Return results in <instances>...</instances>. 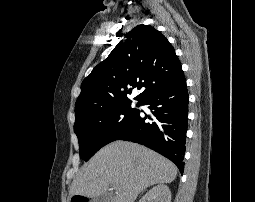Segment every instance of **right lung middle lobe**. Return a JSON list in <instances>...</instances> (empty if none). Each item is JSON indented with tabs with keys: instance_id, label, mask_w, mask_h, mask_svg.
Instances as JSON below:
<instances>
[{
	"instance_id": "right-lung-middle-lobe-1",
	"label": "right lung middle lobe",
	"mask_w": 255,
	"mask_h": 202,
	"mask_svg": "<svg viewBox=\"0 0 255 202\" xmlns=\"http://www.w3.org/2000/svg\"><path fill=\"white\" fill-rule=\"evenodd\" d=\"M138 113L139 110L132 108L131 102H121L77 119L74 131L79 141L80 158L88 161L100 148L115 141L130 127Z\"/></svg>"
}]
</instances>
